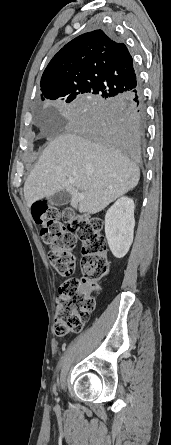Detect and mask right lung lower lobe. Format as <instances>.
Here are the masks:
<instances>
[{"label": "right lung lower lobe", "instance_id": "1", "mask_svg": "<svg viewBox=\"0 0 171 445\" xmlns=\"http://www.w3.org/2000/svg\"><path fill=\"white\" fill-rule=\"evenodd\" d=\"M145 109L140 86L123 96L103 95L90 112L93 136L131 159L141 156Z\"/></svg>", "mask_w": 171, "mask_h": 445}]
</instances>
